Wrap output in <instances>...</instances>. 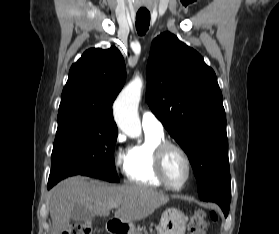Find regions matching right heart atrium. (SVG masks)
<instances>
[{
  "label": "right heart atrium",
  "instance_id": "1",
  "mask_svg": "<svg viewBox=\"0 0 279 234\" xmlns=\"http://www.w3.org/2000/svg\"><path fill=\"white\" fill-rule=\"evenodd\" d=\"M124 141V137L121 134H118L116 137V145H121Z\"/></svg>",
  "mask_w": 279,
  "mask_h": 234
}]
</instances>
